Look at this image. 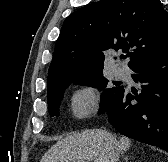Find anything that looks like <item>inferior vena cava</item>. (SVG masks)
Returning <instances> with one entry per match:
<instances>
[{
  "label": "inferior vena cava",
  "instance_id": "1",
  "mask_svg": "<svg viewBox=\"0 0 168 162\" xmlns=\"http://www.w3.org/2000/svg\"><path fill=\"white\" fill-rule=\"evenodd\" d=\"M111 158H110V162H118L119 161V155H120V151L118 149L117 146V142L116 140L113 138L112 142H111Z\"/></svg>",
  "mask_w": 168,
  "mask_h": 162
}]
</instances>
